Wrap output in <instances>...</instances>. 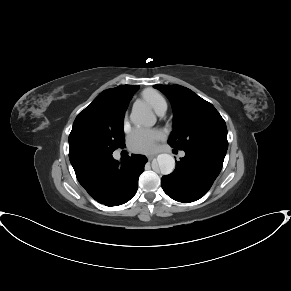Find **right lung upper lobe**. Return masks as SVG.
I'll use <instances>...</instances> for the list:
<instances>
[{"instance_id":"cb5924a9","label":"right lung upper lobe","mask_w":291,"mask_h":291,"mask_svg":"<svg viewBox=\"0 0 291 291\" xmlns=\"http://www.w3.org/2000/svg\"><path fill=\"white\" fill-rule=\"evenodd\" d=\"M137 89V85H122L116 88L107 89L100 93L91 104L102 102L110 98H116L121 102L128 104Z\"/></svg>"}]
</instances>
